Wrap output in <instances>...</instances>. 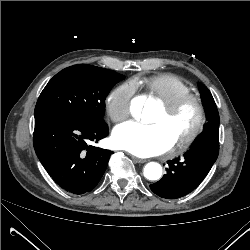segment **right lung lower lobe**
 Returning <instances> with one entry per match:
<instances>
[{
  "label": "right lung lower lobe",
  "mask_w": 250,
  "mask_h": 250,
  "mask_svg": "<svg viewBox=\"0 0 250 250\" xmlns=\"http://www.w3.org/2000/svg\"><path fill=\"white\" fill-rule=\"evenodd\" d=\"M107 135L105 122L39 114L35 116L33 145L40 162L60 187L83 194L98 184L113 153L89 143Z\"/></svg>",
  "instance_id": "98d812e1"
}]
</instances>
